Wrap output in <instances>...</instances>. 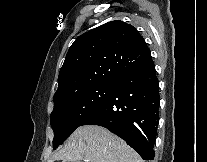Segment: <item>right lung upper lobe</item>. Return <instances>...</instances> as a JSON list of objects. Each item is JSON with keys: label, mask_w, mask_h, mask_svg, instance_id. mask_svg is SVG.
<instances>
[{"label": "right lung upper lobe", "mask_w": 207, "mask_h": 162, "mask_svg": "<svg viewBox=\"0 0 207 162\" xmlns=\"http://www.w3.org/2000/svg\"><path fill=\"white\" fill-rule=\"evenodd\" d=\"M151 59L143 37L120 20L80 35L68 50L54 99L87 87L114 84L125 73Z\"/></svg>", "instance_id": "1"}]
</instances>
